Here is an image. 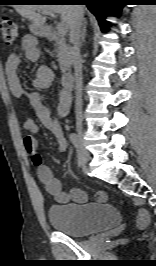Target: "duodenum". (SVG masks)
I'll return each mask as SVG.
<instances>
[{
  "mask_svg": "<svg viewBox=\"0 0 156 266\" xmlns=\"http://www.w3.org/2000/svg\"><path fill=\"white\" fill-rule=\"evenodd\" d=\"M45 37L48 40H56L59 38L58 32L53 27L45 28ZM74 77L71 72H66L62 76V85L64 89L69 92L73 87Z\"/></svg>",
  "mask_w": 156,
  "mask_h": 266,
  "instance_id": "obj_1",
  "label": "duodenum"
}]
</instances>
